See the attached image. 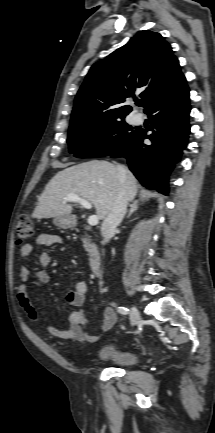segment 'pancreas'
Masks as SVG:
<instances>
[{"label": "pancreas", "instance_id": "pancreas-1", "mask_svg": "<svg viewBox=\"0 0 215 433\" xmlns=\"http://www.w3.org/2000/svg\"><path fill=\"white\" fill-rule=\"evenodd\" d=\"M83 244L85 250L88 252L89 255H92L97 251L96 245L91 241L90 236L86 235L83 238Z\"/></svg>", "mask_w": 215, "mask_h": 433}]
</instances>
